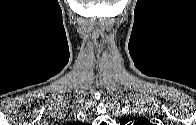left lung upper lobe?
<instances>
[{"mask_svg": "<svg viewBox=\"0 0 196 125\" xmlns=\"http://www.w3.org/2000/svg\"><path fill=\"white\" fill-rule=\"evenodd\" d=\"M141 123H143V121H140V120H139V121H138V124H141Z\"/></svg>", "mask_w": 196, "mask_h": 125, "instance_id": "obj_1", "label": "left lung upper lobe"}]
</instances>
